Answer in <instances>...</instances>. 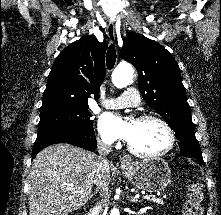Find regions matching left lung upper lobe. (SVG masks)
Instances as JSON below:
<instances>
[{"instance_id": "obj_1", "label": "left lung upper lobe", "mask_w": 221, "mask_h": 215, "mask_svg": "<svg viewBox=\"0 0 221 215\" xmlns=\"http://www.w3.org/2000/svg\"><path fill=\"white\" fill-rule=\"evenodd\" d=\"M120 54L137 69L144 100L171 126L180 150L201 154L180 68L174 57L159 43L136 33L124 38Z\"/></svg>"}]
</instances>
